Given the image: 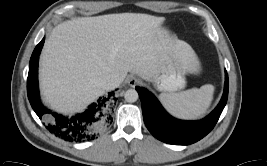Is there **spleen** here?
<instances>
[{"label":"spleen","mask_w":267,"mask_h":166,"mask_svg":"<svg viewBox=\"0 0 267 166\" xmlns=\"http://www.w3.org/2000/svg\"><path fill=\"white\" fill-rule=\"evenodd\" d=\"M214 86L207 84L181 93H163L160 98L173 115L181 118H198L205 114L213 99Z\"/></svg>","instance_id":"spleen-1"}]
</instances>
